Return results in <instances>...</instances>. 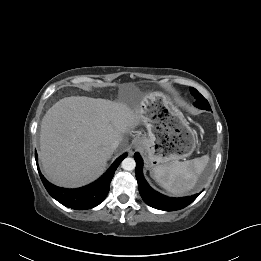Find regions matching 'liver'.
<instances>
[{"label": "liver", "mask_w": 261, "mask_h": 261, "mask_svg": "<svg viewBox=\"0 0 261 261\" xmlns=\"http://www.w3.org/2000/svg\"><path fill=\"white\" fill-rule=\"evenodd\" d=\"M144 100L126 102L84 96L65 97L44 115L40 131V160L46 177L63 187H79L104 171L115 149L143 122Z\"/></svg>", "instance_id": "obj_1"}]
</instances>
